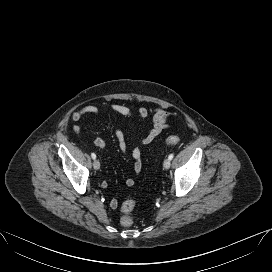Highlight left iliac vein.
I'll return each instance as SVG.
<instances>
[{
    "instance_id": "obj_1",
    "label": "left iliac vein",
    "mask_w": 272,
    "mask_h": 272,
    "mask_svg": "<svg viewBox=\"0 0 272 272\" xmlns=\"http://www.w3.org/2000/svg\"><path fill=\"white\" fill-rule=\"evenodd\" d=\"M170 166H171V161H170V159H169V158L165 159L164 162H163V167H164L165 169H169Z\"/></svg>"
}]
</instances>
